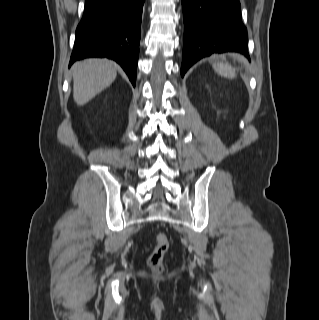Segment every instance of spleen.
Masks as SVG:
<instances>
[{
    "label": "spleen",
    "instance_id": "spleen-1",
    "mask_svg": "<svg viewBox=\"0 0 319 320\" xmlns=\"http://www.w3.org/2000/svg\"><path fill=\"white\" fill-rule=\"evenodd\" d=\"M214 70L221 76L233 79L236 77V70L227 63H217L213 65Z\"/></svg>",
    "mask_w": 319,
    "mask_h": 320
}]
</instances>
